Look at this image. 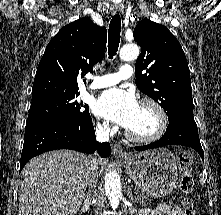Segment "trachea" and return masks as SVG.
I'll use <instances>...</instances> for the list:
<instances>
[{"mask_svg": "<svg viewBox=\"0 0 221 215\" xmlns=\"http://www.w3.org/2000/svg\"><path fill=\"white\" fill-rule=\"evenodd\" d=\"M121 18L115 14L109 24L108 33V55L112 59L116 55L120 42Z\"/></svg>", "mask_w": 221, "mask_h": 215, "instance_id": "3493384b", "label": "trachea"}]
</instances>
